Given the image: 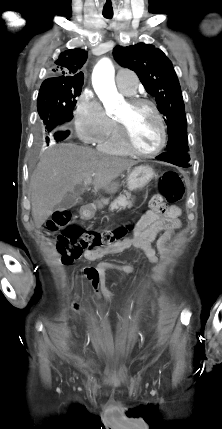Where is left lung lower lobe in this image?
Masks as SVG:
<instances>
[{"label": "left lung lower lobe", "instance_id": "0a47b994", "mask_svg": "<svg viewBox=\"0 0 222 429\" xmlns=\"http://www.w3.org/2000/svg\"><path fill=\"white\" fill-rule=\"evenodd\" d=\"M156 159L187 168L190 166V155L182 150H172L162 153Z\"/></svg>", "mask_w": 222, "mask_h": 429}]
</instances>
